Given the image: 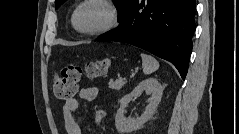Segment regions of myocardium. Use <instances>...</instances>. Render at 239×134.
<instances>
[{"mask_svg":"<svg viewBox=\"0 0 239 134\" xmlns=\"http://www.w3.org/2000/svg\"><path fill=\"white\" fill-rule=\"evenodd\" d=\"M89 4H97L100 5L102 7H104L108 13V19L106 21V23L101 26L100 28H97L95 30H82L78 27L77 22H76V18L77 15L79 13V11L86 5ZM118 12L115 8V6L107 0H85L82 1L78 4V6L75 8L73 14H72V25L74 27V29L82 34V35H86V36H96V35H100L103 34L109 30H111L118 22Z\"/></svg>","mask_w":239,"mask_h":134,"instance_id":"1","label":"myocardium"}]
</instances>
